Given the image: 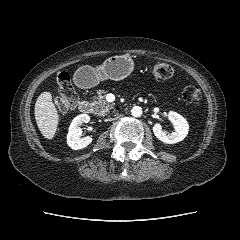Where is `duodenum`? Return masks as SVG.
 Listing matches in <instances>:
<instances>
[{
	"instance_id": "410a0bca",
	"label": "duodenum",
	"mask_w": 240,
	"mask_h": 240,
	"mask_svg": "<svg viewBox=\"0 0 240 240\" xmlns=\"http://www.w3.org/2000/svg\"><path fill=\"white\" fill-rule=\"evenodd\" d=\"M79 109L82 113L89 114L92 111V106L89 101L87 100H82L79 103Z\"/></svg>"
}]
</instances>
